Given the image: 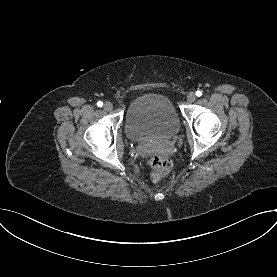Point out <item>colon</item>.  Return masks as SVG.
I'll return each instance as SVG.
<instances>
[{
    "mask_svg": "<svg viewBox=\"0 0 277 277\" xmlns=\"http://www.w3.org/2000/svg\"><path fill=\"white\" fill-rule=\"evenodd\" d=\"M148 163L151 167L150 180L152 182L161 180L172 168L170 159L161 155L151 156Z\"/></svg>",
    "mask_w": 277,
    "mask_h": 277,
    "instance_id": "colon-1",
    "label": "colon"
}]
</instances>
